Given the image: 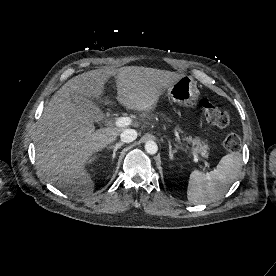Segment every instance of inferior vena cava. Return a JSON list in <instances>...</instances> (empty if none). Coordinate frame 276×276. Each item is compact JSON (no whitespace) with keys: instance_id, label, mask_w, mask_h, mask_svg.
Here are the masks:
<instances>
[{"instance_id":"inferior-vena-cava-1","label":"inferior vena cava","mask_w":276,"mask_h":276,"mask_svg":"<svg viewBox=\"0 0 276 276\" xmlns=\"http://www.w3.org/2000/svg\"><path fill=\"white\" fill-rule=\"evenodd\" d=\"M120 138L124 143L133 142L137 138V131L134 129H124L120 134Z\"/></svg>"}]
</instances>
